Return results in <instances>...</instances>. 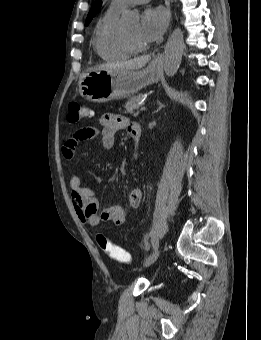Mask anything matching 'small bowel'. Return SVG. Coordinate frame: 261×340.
<instances>
[{
	"instance_id": "small-bowel-1",
	"label": "small bowel",
	"mask_w": 261,
	"mask_h": 340,
	"mask_svg": "<svg viewBox=\"0 0 261 340\" xmlns=\"http://www.w3.org/2000/svg\"><path fill=\"white\" fill-rule=\"evenodd\" d=\"M100 127H83L77 130L62 147L63 156L73 159L76 147L79 142L96 138H101V144L105 149H112L117 131L126 129L134 142L136 149L135 157L140 143L141 130L135 122H130L127 118L111 113L103 114L99 119ZM71 201L79 219L90 226H97L101 222H112L122 225L127 216L126 209L120 205L99 209V202L96 191L82 185L79 175H73L70 179ZM142 192L140 189H133L129 194V203L133 208H138L141 203Z\"/></svg>"
}]
</instances>
